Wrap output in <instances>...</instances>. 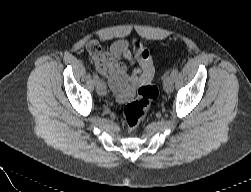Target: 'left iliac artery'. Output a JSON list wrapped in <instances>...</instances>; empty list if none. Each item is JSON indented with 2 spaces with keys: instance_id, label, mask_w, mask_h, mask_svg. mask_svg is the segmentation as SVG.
<instances>
[{
  "instance_id": "44dca946",
  "label": "left iliac artery",
  "mask_w": 251,
  "mask_h": 192,
  "mask_svg": "<svg viewBox=\"0 0 251 192\" xmlns=\"http://www.w3.org/2000/svg\"><path fill=\"white\" fill-rule=\"evenodd\" d=\"M177 74H178V68L177 67H174L173 69H172V71H171V74H170V76L172 77V78H176V76H177Z\"/></svg>"
}]
</instances>
